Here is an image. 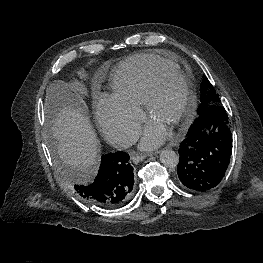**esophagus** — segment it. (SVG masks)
Instances as JSON below:
<instances>
[{
  "mask_svg": "<svg viewBox=\"0 0 263 263\" xmlns=\"http://www.w3.org/2000/svg\"><path fill=\"white\" fill-rule=\"evenodd\" d=\"M156 153H158V152H151V153H148L147 155L149 156H151V155H154V154H156ZM146 154H139V153H136V152H132V155H131V159H132V161L135 163V164H137V163H139L140 161H142L144 158H146V156H147Z\"/></svg>",
  "mask_w": 263,
  "mask_h": 263,
  "instance_id": "obj_1",
  "label": "esophagus"
}]
</instances>
